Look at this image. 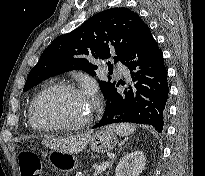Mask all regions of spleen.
<instances>
[{"mask_svg":"<svg viewBox=\"0 0 205 176\" xmlns=\"http://www.w3.org/2000/svg\"><path fill=\"white\" fill-rule=\"evenodd\" d=\"M108 129L119 136H127L134 132L135 126L129 123H120L110 125L108 126Z\"/></svg>","mask_w":205,"mask_h":176,"instance_id":"obj_1","label":"spleen"}]
</instances>
